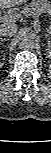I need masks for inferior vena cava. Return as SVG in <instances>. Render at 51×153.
I'll return each instance as SVG.
<instances>
[{"label":"inferior vena cava","instance_id":"1","mask_svg":"<svg viewBox=\"0 0 51 153\" xmlns=\"http://www.w3.org/2000/svg\"><path fill=\"white\" fill-rule=\"evenodd\" d=\"M18 26L14 22L6 21L0 25V36L12 37L17 33Z\"/></svg>","mask_w":51,"mask_h":153}]
</instances>
